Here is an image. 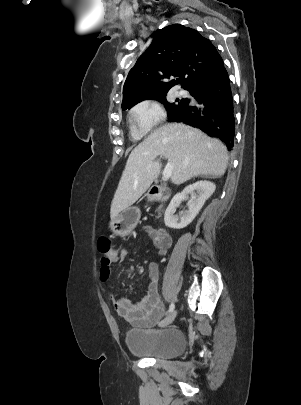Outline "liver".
Listing matches in <instances>:
<instances>
[{
	"label": "liver",
	"mask_w": 301,
	"mask_h": 405,
	"mask_svg": "<svg viewBox=\"0 0 301 405\" xmlns=\"http://www.w3.org/2000/svg\"><path fill=\"white\" fill-rule=\"evenodd\" d=\"M164 156L173 164L171 182L180 185L191 178L224 175L229 156L224 144L202 131L182 123L166 124L154 130L128 157L111 203L110 217L133 205L159 176Z\"/></svg>",
	"instance_id": "6515ba94"
}]
</instances>
